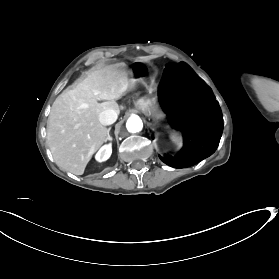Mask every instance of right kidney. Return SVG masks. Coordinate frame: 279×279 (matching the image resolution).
<instances>
[{
    "label": "right kidney",
    "mask_w": 279,
    "mask_h": 279,
    "mask_svg": "<svg viewBox=\"0 0 279 279\" xmlns=\"http://www.w3.org/2000/svg\"><path fill=\"white\" fill-rule=\"evenodd\" d=\"M111 154V147L110 145L104 146L97 154L96 158L98 161L106 160Z\"/></svg>",
    "instance_id": "ca27d5eb"
}]
</instances>
